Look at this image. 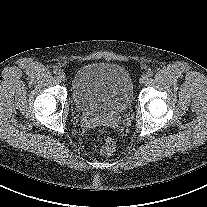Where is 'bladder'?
Segmentation results:
<instances>
[{
    "label": "bladder",
    "mask_w": 207,
    "mask_h": 207,
    "mask_svg": "<svg viewBox=\"0 0 207 207\" xmlns=\"http://www.w3.org/2000/svg\"><path fill=\"white\" fill-rule=\"evenodd\" d=\"M72 97L84 115L117 114L130 106L133 82L129 72L118 64L89 63L76 71Z\"/></svg>",
    "instance_id": "obj_1"
}]
</instances>
